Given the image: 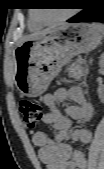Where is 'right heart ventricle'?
<instances>
[{
    "mask_svg": "<svg viewBox=\"0 0 104 169\" xmlns=\"http://www.w3.org/2000/svg\"><path fill=\"white\" fill-rule=\"evenodd\" d=\"M43 26V24H41L40 22H38V20L35 18L34 15H30L29 21H28V27L30 30L32 31H36L41 29Z\"/></svg>",
    "mask_w": 104,
    "mask_h": 169,
    "instance_id": "e07e8e85",
    "label": "right heart ventricle"
}]
</instances>
